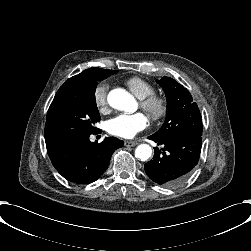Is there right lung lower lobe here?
Here are the masks:
<instances>
[{
	"label": "right lung lower lobe",
	"instance_id": "obj_1",
	"mask_svg": "<svg viewBox=\"0 0 251 251\" xmlns=\"http://www.w3.org/2000/svg\"><path fill=\"white\" fill-rule=\"evenodd\" d=\"M89 136L71 138L47 148L53 166L70 182H95L107 169L113 152L124 145L115 137L97 144Z\"/></svg>",
	"mask_w": 251,
	"mask_h": 251
}]
</instances>
